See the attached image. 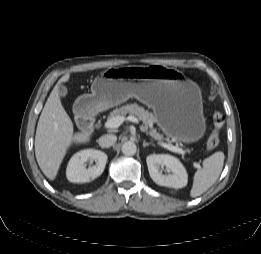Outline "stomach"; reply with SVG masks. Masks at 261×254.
<instances>
[{"label":"stomach","mask_w":261,"mask_h":254,"mask_svg":"<svg viewBox=\"0 0 261 254\" xmlns=\"http://www.w3.org/2000/svg\"><path fill=\"white\" fill-rule=\"evenodd\" d=\"M91 92L81 98L92 112L134 97L153 110L157 125L167 137L194 143L205 134L201 91L175 68L161 65L108 68L95 78Z\"/></svg>","instance_id":"obj_1"}]
</instances>
